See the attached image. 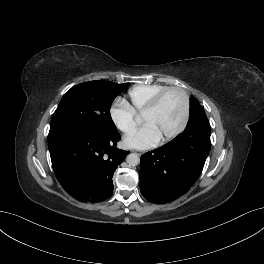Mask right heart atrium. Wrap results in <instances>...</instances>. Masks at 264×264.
<instances>
[{"label":"right heart atrium","instance_id":"d8ad5b80","mask_svg":"<svg viewBox=\"0 0 264 264\" xmlns=\"http://www.w3.org/2000/svg\"><path fill=\"white\" fill-rule=\"evenodd\" d=\"M110 118L115 127L121 132L131 133L137 124V116L134 110L124 101H117L110 107Z\"/></svg>","mask_w":264,"mask_h":264}]
</instances>
